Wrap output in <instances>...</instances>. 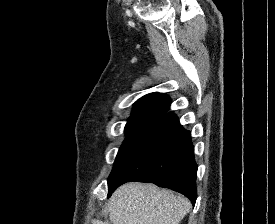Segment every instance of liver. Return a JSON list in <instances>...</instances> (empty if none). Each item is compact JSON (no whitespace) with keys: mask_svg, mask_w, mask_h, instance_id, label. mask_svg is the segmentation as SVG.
Segmentation results:
<instances>
[{"mask_svg":"<svg viewBox=\"0 0 275 224\" xmlns=\"http://www.w3.org/2000/svg\"><path fill=\"white\" fill-rule=\"evenodd\" d=\"M190 203L154 184L126 183L112 195L109 217L113 224H179Z\"/></svg>","mask_w":275,"mask_h":224,"instance_id":"liver-1","label":"liver"}]
</instances>
